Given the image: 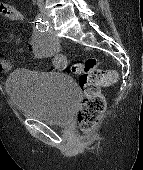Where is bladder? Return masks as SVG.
<instances>
[{
  "mask_svg": "<svg viewBox=\"0 0 143 170\" xmlns=\"http://www.w3.org/2000/svg\"><path fill=\"white\" fill-rule=\"evenodd\" d=\"M5 90L20 114L52 125L72 119L79 97L75 81L59 72L18 69L8 76Z\"/></svg>",
  "mask_w": 143,
  "mask_h": 170,
  "instance_id": "1",
  "label": "bladder"
}]
</instances>
